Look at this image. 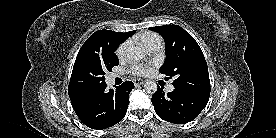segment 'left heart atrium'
<instances>
[{"instance_id":"obj_1","label":"left heart atrium","mask_w":276,"mask_h":138,"mask_svg":"<svg viewBox=\"0 0 276 138\" xmlns=\"http://www.w3.org/2000/svg\"><path fill=\"white\" fill-rule=\"evenodd\" d=\"M131 71L136 75H144L148 73L149 69L147 66H144V65H134L131 68Z\"/></svg>"}]
</instances>
